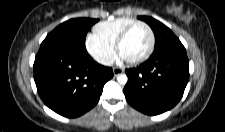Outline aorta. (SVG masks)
<instances>
[{"label":"aorta","mask_w":225,"mask_h":132,"mask_svg":"<svg viewBox=\"0 0 225 132\" xmlns=\"http://www.w3.org/2000/svg\"><path fill=\"white\" fill-rule=\"evenodd\" d=\"M127 81H128V78H127V75L126 74H118L117 75V82L119 83V84H123V85H125L126 83H127Z\"/></svg>","instance_id":"1"}]
</instances>
